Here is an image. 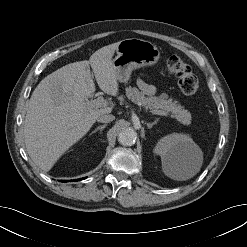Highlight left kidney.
I'll list each match as a JSON object with an SVG mask.
<instances>
[{
    "label": "left kidney",
    "instance_id": "5707ae66",
    "mask_svg": "<svg viewBox=\"0 0 247 247\" xmlns=\"http://www.w3.org/2000/svg\"><path fill=\"white\" fill-rule=\"evenodd\" d=\"M198 152V146L189 135L178 133L164 136L155 147V153L160 155L163 163H176L182 158L191 159Z\"/></svg>",
    "mask_w": 247,
    "mask_h": 247
}]
</instances>
